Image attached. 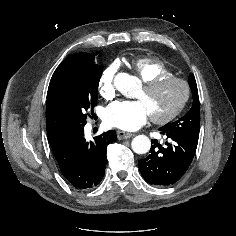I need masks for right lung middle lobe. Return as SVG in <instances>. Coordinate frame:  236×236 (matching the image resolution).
Listing matches in <instances>:
<instances>
[{"mask_svg": "<svg viewBox=\"0 0 236 236\" xmlns=\"http://www.w3.org/2000/svg\"><path fill=\"white\" fill-rule=\"evenodd\" d=\"M94 59V55L88 53L75 54L73 70L62 83L59 101L70 129L83 127L87 116H90L87 112L93 111L97 104L98 85L103 69ZM48 138L50 143L62 140L59 133L48 135Z\"/></svg>", "mask_w": 236, "mask_h": 236, "instance_id": "obj_1", "label": "right lung middle lobe"}]
</instances>
